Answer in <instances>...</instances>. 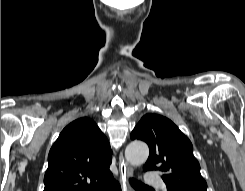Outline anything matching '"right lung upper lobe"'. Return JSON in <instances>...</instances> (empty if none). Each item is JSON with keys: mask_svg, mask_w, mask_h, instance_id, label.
I'll return each instance as SVG.
<instances>
[{"mask_svg": "<svg viewBox=\"0 0 245 191\" xmlns=\"http://www.w3.org/2000/svg\"><path fill=\"white\" fill-rule=\"evenodd\" d=\"M111 153L106 136L92 119L71 122L50 149L44 191H96L114 180Z\"/></svg>", "mask_w": 245, "mask_h": 191, "instance_id": "right-lung-upper-lobe-1", "label": "right lung upper lobe"}]
</instances>
